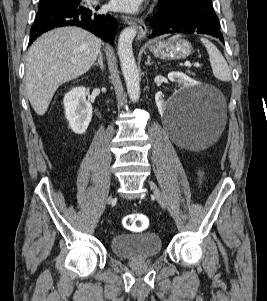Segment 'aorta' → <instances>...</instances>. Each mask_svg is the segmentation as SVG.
Segmentation results:
<instances>
[{"label":"aorta","mask_w":267,"mask_h":301,"mask_svg":"<svg viewBox=\"0 0 267 301\" xmlns=\"http://www.w3.org/2000/svg\"><path fill=\"white\" fill-rule=\"evenodd\" d=\"M136 33L137 28L134 26L125 28L119 36L117 51L128 95L133 102L138 101L140 97L139 73L132 51V42Z\"/></svg>","instance_id":"1"}]
</instances>
